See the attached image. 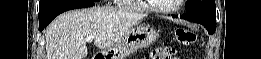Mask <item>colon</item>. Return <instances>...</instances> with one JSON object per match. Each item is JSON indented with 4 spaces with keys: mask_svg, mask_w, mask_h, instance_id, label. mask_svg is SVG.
<instances>
[{
    "mask_svg": "<svg viewBox=\"0 0 261 59\" xmlns=\"http://www.w3.org/2000/svg\"><path fill=\"white\" fill-rule=\"evenodd\" d=\"M176 40L182 45H192L196 42V34L185 28L176 30ZM152 59H175V49L169 46H160L152 54Z\"/></svg>",
    "mask_w": 261,
    "mask_h": 59,
    "instance_id": "5ec220e1",
    "label": "colon"
}]
</instances>
